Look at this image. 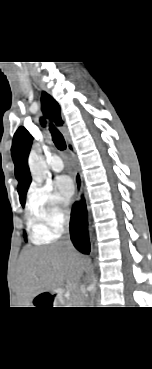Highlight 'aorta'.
Listing matches in <instances>:
<instances>
[{"label":"aorta","mask_w":152,"mask_h":369,"mask_svg":"<svg viewBox=\"0 0 152 369\" xmlns=\"http://www.w3.org/2000/svg\"><path fill=\"white\" fill-rule=\"evenodd\" d=\"M38 150L33 149L30 153L28 164L31 175L35 181L38 183H42L46 179L47 175V166L43 158L38 155ZM96 278H93V282L90 284L89 289L91 291V304H93V298L96 291Z\"/></svg>","instance_id":"obj_1"}]
</instances>
